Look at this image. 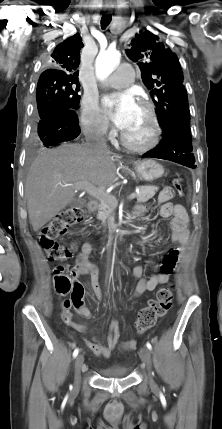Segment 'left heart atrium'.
Wrapping results in <instances>:
<instances>
[{
    "instance_id": "39dd6f15",
    "label": "left heart atrium",
    "mask_w": 222,
    "mask_h": 429,
    "mask_svg": "<svg viewBox=\"0 0 222 429\" xmlns=\"http://www.w3.org/2000/svg\"><path fill=\"white\" fill-rule=\"evenodd\" d=\"M104 106L114 125L124 130L136 111L137 103L131 93L125 92L105 97Z\"/></svg>"
}]
</instances>
